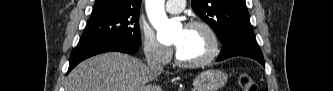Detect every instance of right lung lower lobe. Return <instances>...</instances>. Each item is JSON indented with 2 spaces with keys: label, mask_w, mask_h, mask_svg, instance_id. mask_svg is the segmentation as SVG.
Listing matches in <instances>:
<instances>
[{
  "label": "right lung lower lobe",
  "mask_w": 333,
  "mask_h": 91,
  "mask_svg": "<svg viewBox=\"0 0 333 91\" xmlns=\"http://www.w3.org/2000/svg\"><path fill=\"white\" fill-rule=\"evenodd\" d=\"M139 46L130 44L116 38H103V39H83L81 38L78 45L73 50L70 63L69 73L79 62L93 55L104 52L117 51L132 54L137 52Z\"/></svg>",
  "instance_id": "98d812e1"
}]
</instances>
